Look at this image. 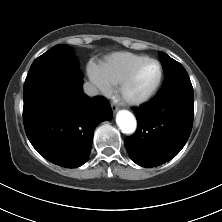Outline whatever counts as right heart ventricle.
Wrapping results in <instances>:
<instances>
[{"mask_svg":"<svg viewBox=\"0 0 222 222\" xmlns=\"http://www.w3.org/2000/svg\"><path fill=\"white\" fill-rule=\"evenodd\" d=\"M147 57L131 52H117L108 56L98 66L100 76L109 85H118L129 71Z\"/></svg>","mask_w":222,"mask_h":222,"instance_id":"1","label":"right heart ventricle"}]
</instances>
